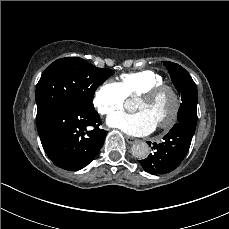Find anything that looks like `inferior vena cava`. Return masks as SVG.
<instances>
[{
	"label": "inferior vena cava",
	"mask_w": 229,
	"mask_h": 229,
	"mask_svg": "<svg viewBox=\"0 0 229 229\" xmlns=\"http://www.w3.org/2000/svg\"><path fill=\"white\" fill-rule=\"evenodd\" d=\"M137 146H140V145H134L132 149L135 150V148H138Z\"/></svg>",
	"instance_id": "1"
}]
</instances>
